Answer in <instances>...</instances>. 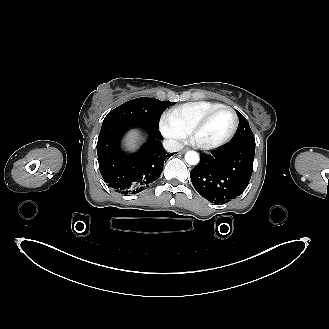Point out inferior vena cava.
I'll use <instances>...</instances> for the list:
<instances>
[{
	"mask_svg": "<svg viewBox=\"0 0 329 329\" xmlns=\"http://www.w3.org/2000/svg\"><path fill=\"white\" fill-rule=\"evenodd\" d=\"M163 147L168 152H176L183 148V144L177 140L168 139L163 141Z\"/></svg>",
	"mask_w": 329,
	"mask_h": 329,
	"instance_id": "602c4592",
	"label": "inferior vena cava"
}]
</instances>
